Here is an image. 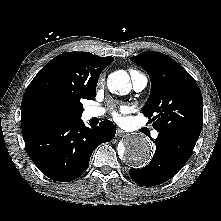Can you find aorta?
Segmentation results:
<instances>
[{"instance_id": "obj_1", "label": "aorta", "mask_w": 221, "mask_h": 221, "mask_svg": "<svg viewBox=\"0 0 221 221\" xmlns=\"http://www.w3.org/2000/svg\"><path fill=\"white\" fill-rule=\"evenodd\" d=\"M130 77L124 70L111 73L107 79V86L111 93L125 95L131 90ZM122 160L130 165L143 166L152 158V147L147 137L141 134H132L124 139L118 147Z\"/></svg>"}]
</instances>
